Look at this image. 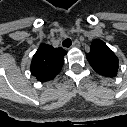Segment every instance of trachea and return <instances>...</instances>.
<instances>
[{
  "instance_id": "1",
  "label": "trachea",
  "mask_w": 127,
  "mask_h": 127,
  "mask_svg": "<svg viewBox=\"0 0 127 127\" xmlns=\"http://www.w3.org/2000/svg\"><path fill=\"white\" fill-rule=\"evenodd\" d=\"M64 47H70L72 42L69 38H66L63 42H62Z\"/></svg>"
}]
</instances>
